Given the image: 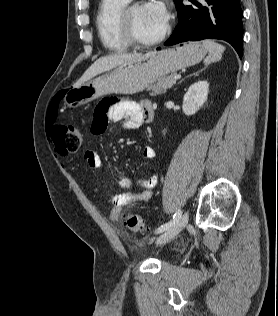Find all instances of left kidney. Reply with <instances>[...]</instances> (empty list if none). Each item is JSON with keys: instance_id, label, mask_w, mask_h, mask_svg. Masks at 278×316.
I'll use <instances>...</instances> for the list:
<instances>
[{"instance_id": "obj_1", "label": "left kidney", "mask_w": 278, "mask_h": 316, "mask_svg": "<svg viewBox=\"0 0 278 316\" xmlns=\"http://www.w3.org/2000/svg\"><path fill=\"white\" fill-rule=\"evenodd\" d=\"M209 83L198 81L184 95L182 109L186 115L195 114L207 100Z\"/></svg>"}]
</instances>
